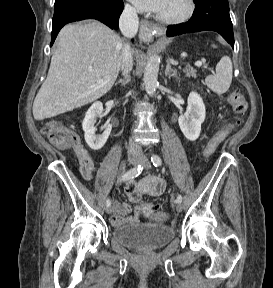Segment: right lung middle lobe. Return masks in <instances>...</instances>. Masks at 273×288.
I'll use <instances>...</instances> for the list:
<instances>
[{
	"instance_id": "dd1d6c3e",
	"label": "right lung middle lobe",
	"mask_w": 273,
	"mask_h": 288,
	"mask_svg": "<svg viewBox=\"0 0 273 288\" xmlns=\"http://www.w3.org/2000/svg\"><path fill=\"white\" fill-rule=\"evenodd\" d=\"M60 1H64V0H55V2H60ZM102 1H108V0H102Z\"/></svg>"
}]
</instances>
